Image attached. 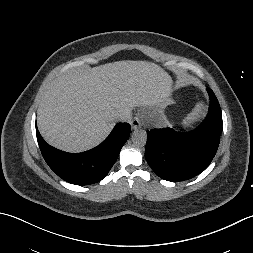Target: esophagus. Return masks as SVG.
<instances>
[{
    "label": "esophagus",
    "instance_id": "1",
    "mask_svg": "<svg viewBox=\"0 0 253 253\" xmlns=\"http://www.w3.org/2000/svg\"><path fill=\"white\" fill-rule=\"evenodd\" d=\"M141 127V122L139 120L138 117H135L132 121H131V128L132 130H136L138 128Z\"/></svg>",
    "mask_w": 253,
    "mask_h": 253
}]
</instances>
